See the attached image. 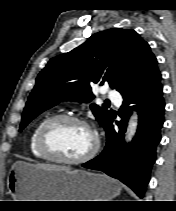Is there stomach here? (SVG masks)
<instances>
[{"label": "stomach", "instance_id": "stomach-1", "mask_svg": "<svg viewBox=\"0 0 176 211\" xmlns=\"http://www.w3.org/2000/svg\"><path fill=\"white\" fill-rule=\"evenodd\" d=\"M7 187L15 201H110L121 191L119 182L104 174L22 161L12 165Z\"/></svg>", "mask_w": 176, "mask_h": 211}]
</instances>
